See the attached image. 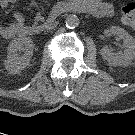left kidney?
I'll return each instance as SVG.
<instances>
[{
	"label": "left kidney",
	"mask_w": 135,
	"mask_h": 135,
	"mask_svg": "<svg viewBox=\"0 0 135 135\" xmlns=\"http://www.w3.org/2000/svg\"><path fill=\"white\" fill-rule=\"evenodd\" d=\"M110 33L118 36L124 43L125 50L122 54L113 53L108 46L100 50L102 57L113 66L129 65L135 59V39L119 26H112Z\"/></svg>",
	"instance_id": "left-kidney-1"
}]
</instances>
